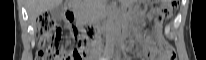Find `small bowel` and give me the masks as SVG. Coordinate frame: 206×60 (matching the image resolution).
<instances>
[{
  "label": "small bowel",
  "mask_w": 206,
  "mask_h": 60,
  "mask_svg": "<svg viewBox=\"0 0 206 60\" xmlns=\"http://www.w3.org/2000/svg\"><path fill=\"white\" fill-rule=\"evenodd\" d=\"M161 23H162V20L159 19V20L157 21V25L159 26Z\"/></svg>",
  "instance_id": "small-bowel-1"
}]
</instances>
